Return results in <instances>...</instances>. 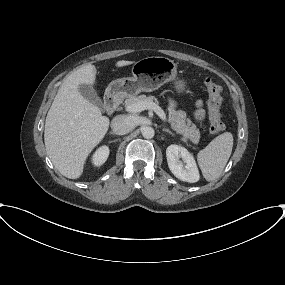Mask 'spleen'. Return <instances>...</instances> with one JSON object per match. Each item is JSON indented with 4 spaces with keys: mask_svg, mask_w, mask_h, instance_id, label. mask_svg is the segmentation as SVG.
Segmentation results:
<instances>
[{
    "mask_svg": "<svg viewBox=\"0 0 285 285\" xmlns=\"http://www.w3.org/2000/svg\"><path fill=\"white\" fill-rule=\"evenodd\" d=\"M233 148V135L224 132L214 138L197 154V161L207 181L217 179L224 170Z\"/></svg>",
    "mask_w": 285,
    "mask_h": 285,
    "instance_id": "spleen-1",
    "label": "spleen"
}]
</instances>
